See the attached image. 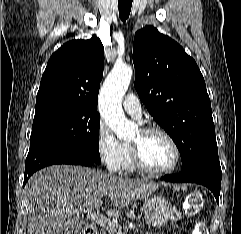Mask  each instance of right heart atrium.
<instances>
[{"mask_svg":"<svg viewBox=\"0 0 241 234\" xmlns=\"http://www.w3.org/2000/svg\"><path fill=\"white\" fill-rule=\"evenodd\" d=\"M95 144L97 154L105 167L111 172L120 171L123 143L102 122L97 127Z\"/></svg>","mask_w":241,"mask_h":234,"instance_id":"obj_1","label":"right heart atrium"}]
</instances>
